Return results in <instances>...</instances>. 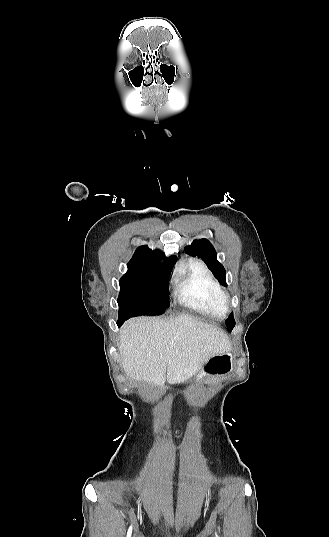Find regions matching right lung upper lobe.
I'll use <instances>...</instances> for the list:
<instances>
[{
    "instance_id": "cb5924a9",
    "label": "right lung upper lobe",
    "mask_w": 329,
    "mask_h": 537,
    "mask_svg": "<svg viewBox=\"0 0 329 537\" xmlns=\"http://www.w3.org/2000/svg\"><path fill=\"white\" fill-rule=\"evenodd\" d=\"M176 259L175 255L165 258V254L160 250H151L147 245H143L136 249L131 260L128 262L127 267L128 270L148 266H160L162 268L172 269ZM161 260H163V262H161Z\"/></svg>"
}]
</instances>
